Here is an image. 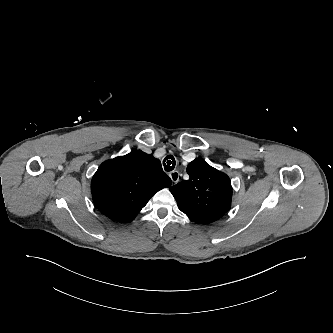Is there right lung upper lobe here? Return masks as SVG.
<instances>
[{
  "label": "right lung upper lobe",
  "instance_id": "right-lung-upper-lobe-1",
  "mask_svg": "<svg viewBox=\"0 0 333 333\" xmlns=\"http://www.w3.org/2000/svg\"><path fill=\"white\" fill-rule=\"evenodd\" d=\"M171 184L160 160L135 149L103 162L92 178L91 192L105 216L129 223L157 191Z\"/></svg>",
  "mask_w": 333,
  "mask_h": 333
}]
</instances>
